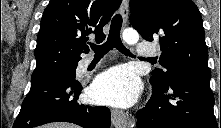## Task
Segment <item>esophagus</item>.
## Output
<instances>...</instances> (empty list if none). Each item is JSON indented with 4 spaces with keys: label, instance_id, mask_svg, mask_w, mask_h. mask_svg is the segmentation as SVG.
<instances>
[{
    "label": "esophagus",
    "instance_id": "1",
    "mask_svg": "<svg viewBox=\"0 0 221 128\" xmlns=\"http://www.w3.org/2000/svg\"><path fill=\"white\" fill-rule=\"evenodd\" d=\"M128 7L129 1L123 0L121 4V14L124 23H126V20L128 18ZM111 120L116 128L134 127L135 124V119L131 114L125 113L122 110L118 109H113L111 111Z\"/></svg>",
    "mask_w": 221,
    "mask_h": 128
}]
</instances>
